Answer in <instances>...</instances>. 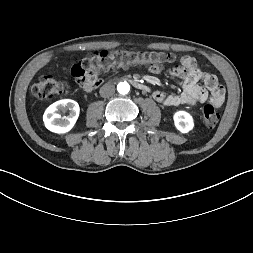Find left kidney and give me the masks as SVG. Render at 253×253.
<instances>
[{"mask_svg": "<svg viewBox=\"0 0 253 253\" xmlns=\"http://www.w3.org/2000/svg\"><path fill=\"white\" fill-rule=\"evenodd\" d=\"M174 123L182 133H188L194 127L193 117L186 111H177L174 114Z\"/></svg>", "mask_w": 253, "mask_h": 253, "instance_id": "left-kidney-1", "label": "left kidney"}]
</instances>
